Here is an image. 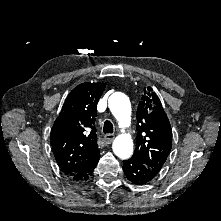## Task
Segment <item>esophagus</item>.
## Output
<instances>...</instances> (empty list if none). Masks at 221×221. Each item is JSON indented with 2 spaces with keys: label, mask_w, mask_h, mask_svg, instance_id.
Instances as JSON below:
<instances>
[{
  "label": "esophagus",
  "mask_w": 221,
  "mask_h": 221,
  "mask_svg": "<svg viewBox=\"0 0 221 221\" xmlns=\"http://www.w3.org/2000/svg\"><path fill=\"white\" fill-rule=\"evenodd\" d=\"M115 138V135L113 134H105L104 135V139L108 142V143H111Z\"/></svg>",
  "instance_id": "obj_1"
}]
</instances>
